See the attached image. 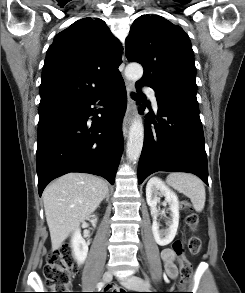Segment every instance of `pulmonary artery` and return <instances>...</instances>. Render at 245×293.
<instances>
[{
	"instance_id": "pulmonary-artery-1",
	"label": "pulmonary artery",
	"mask_w": 245,
	"mask_h": 293,
	"mask_svg": "<svg viewBox=\"0 0 245 293\" xmlns=\"http://www.w3.org/2000/svg\"><path fill=\"white\" fill-rule=\"evenodd\" d=\"M146 93L152 99V103H153L154 108L158 109L155 91L153 89H147Z\"/></svg>"
}]
</instances>
